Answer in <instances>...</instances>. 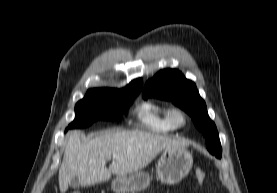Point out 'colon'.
<instances>
[{
    "label": "colon",
    "mask_w": 277,
    "mask_h": 193,
    "mask_svg": "<svg viewBox=\"0 0 277 193\" xmlns=\"http://www.w3.org/2000/svg\"><path fill=\"white\" fill-rule=\"evenodd\" d=\"M195 178H196V181L198 183H200V184L203 183V181L205 180V173H204V171L201 170V169H196V171H195ZM72 193H80V192L75 191V192H72Z\"/></svg>",
    "instance_id": "5ec220e1"
}]
</instances>
